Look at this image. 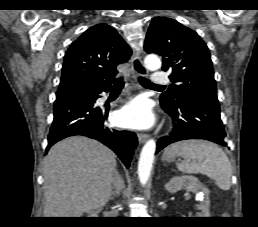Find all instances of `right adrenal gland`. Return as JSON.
Masks as SVG:
<instances>
[{"mask_svg": "<svg viewBox=\"0 0 258 227\" xmlns=\"http://www.w3.org/2000/svg\"><path fill=\"white\" fill-rule=\"evenodd\" d=\"M124 188V180L122 176L119 174L117 170H115L114 173V179H113V189L114 191L112 192V197L110 198L113 200L117 196H119L121 190Z\"/></svg>", "mask_w": 258, "mask_h": 227, "instance_id": "2a0ac1e0", "label": "right adrenal gland"}]
</instances>
